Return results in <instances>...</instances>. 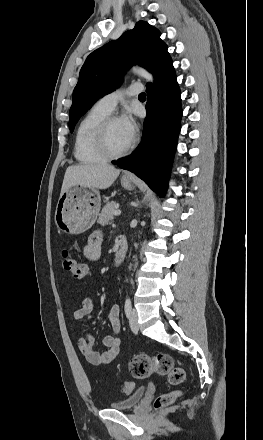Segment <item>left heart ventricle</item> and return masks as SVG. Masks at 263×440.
Wrapping results in <instances>:
<instances>
[{
  "label": "left heart ventricle",
  "instance_id": "b2bd125f",
  "mask_svg": "<svg viewBox=\"0 0 263 440\" xmlns=\"http://www.w3.org/2000/svg\"><path fill=\"white\" fill-rule=\"evenodd\" d=\"M107 142L110 150L113 152L122 151L131 142L126 136L119 119L109 125L107 130Z\"/></svg>",
  "mask_w": 263,
  "mask_h": 440
}]
</instances>
